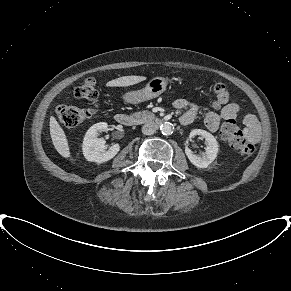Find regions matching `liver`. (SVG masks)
<instances>
[{
  "instance_id": "liver-1",
  "label": "liver",
  "mask_w": 291,
  "mask_h": 291,
  "mask_svg": "<svg viewBox=\"0 0 291 291\" xmlns=\"http://www.w3.org/2000/svg\"><path fill=\"white\" fill-rule=\"evenodd\" d=\"M146 80L145 76H123L116 79H113L107 82L106 86L108 87H126L131 86L142 81ZM50 135L53 142V145L57 152L64 158L70 157V149L68 145V140L66 138L65 132L63 131L62 127L57 122L54 116L50 117Z\"/></svg>"
}]
</instances>
